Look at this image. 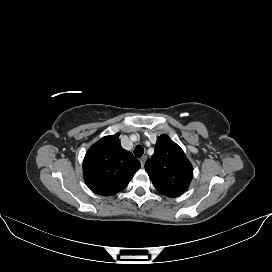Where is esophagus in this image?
Segmentation results:
<instances>
[{
  "label": "esophagus",
  "mask_w": 272,
  "mask_h": 272,
  "mask_svg": "<svg viewBox=\"0 0 272 272\" xmlns=\"http://www.w3.org/2000/svg\"><path fill=\"white\" fill-rule=\"evenodd\" d=\"M146 159H147L146 156H143V157L140 158V162H141L142 167H144Z\"/></svg>",
  "instance_id": "34e87169"
}]
</instances>
